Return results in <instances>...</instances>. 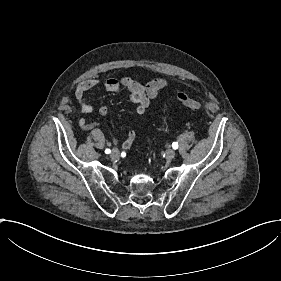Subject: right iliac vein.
I'll return each instance as SVG.
<instances>
[{
  "label": "right iliac vein",
  "mask_w": 281,
  "mask_h": 281,
  "mask_svg": "<svg viewBox=\"0 0 281 281\" xmlns=\"http://www.w3.org/2000/svg\"><path fill=\"white\" fill-rule=\"evenodd\" d=\"M110 154H111V156H112V157H114V158H117V157L119 156L118 151H117V150H115V149H114V150H112Z\"/></svg>",
  "instance_id": "obj_1"
}]
</instances>
